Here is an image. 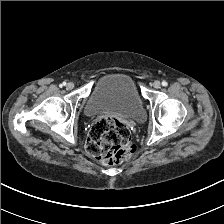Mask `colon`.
<instances>
[{
	"instance_id": "1",
	"label": "colon",
	"mask_w": 224,
	"mask_h": 224,
	"mask_svg": "<svg viewBox=\"0 0 224 224\" xmlns=\"http://www.w3.org/2000/svg\"><path fill=\"white\" fill-rule=\"evenodd\" d=\"M86 150L102 164L115 165L129 159L135 146L125 123L113 117H104L91 128Z\"/></svg>"
}]
</instances>
